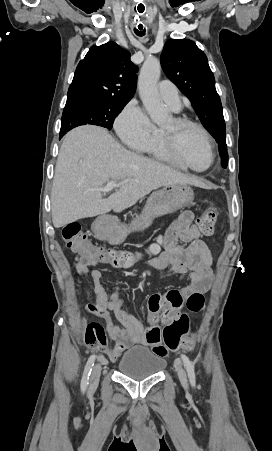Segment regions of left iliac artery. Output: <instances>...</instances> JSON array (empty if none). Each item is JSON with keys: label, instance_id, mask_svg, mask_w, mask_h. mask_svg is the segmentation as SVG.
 I'll list each match as a JSON object with an SVG mask.
<instances>
[{"label": "left iliac artery", "instance_id": "44dca946", "mask_svg": "<svg viewBox=\"0 0 272 451\" xmlns=\"http://www.w3.org/2000/svg\"><path fill=\"white\" fill-rule=\"evenodd\" d=\"M181 358L183 360V364L187 370L189 381L193 387L196 385L195 381V370L192 362L189 360V358L186 355H181Z\"/></svg>", "mask_w": 272, "mask_h": 451}]
</instances>
